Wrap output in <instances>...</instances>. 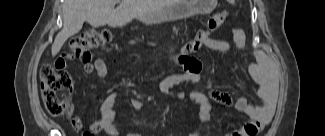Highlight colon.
I'll list each match as a JSON object with an SVG mask.
<instances>
[{"mask_svg":"<svg viewBox=\"0 0 325 136\" xmlns=\"http://www.w3.org/2000/svg\"><path fill=\"white\" fill-rule=\"evenodd\" d=\"M227 12L216 13L206 28L201 29L181 49L180 60L190 59V55L205 46L204 37L208 31H217L224 23ZM112 35L106 29L90 30L73 38L69 44L68 56L84 63L91 60L92 51L105 47L111 42ZM41 94L45 109L51 115H62L69 109V91L64 88L61 78L53 66L41 69ZM83 136H93L90 131Z\"/></svg>","mask_w":325,"mask_h":136,"instance_id":"obj_1","label":"colon"}]
</instances>
